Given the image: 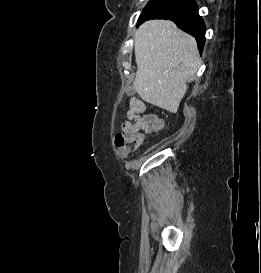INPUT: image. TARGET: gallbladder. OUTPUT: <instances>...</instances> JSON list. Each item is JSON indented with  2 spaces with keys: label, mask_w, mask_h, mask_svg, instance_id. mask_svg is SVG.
Returning <instances> with one entry per match:
<instances>
[{
  "label": "gallbladder",
  "mask_w": 261,
  "mask_h": 273,
  "mask_svg": "<svg viewBox=\"0 0 261 273\" xmlns=\"http://www.w3.org/2000/svg\"><path fill=\"white\" fill-rule=\"evenodd\" d=\"M127 94L129 96H132L135 94V89H134V86L130 87L128 90H127Z\"/></svg>",
  "instance_id": "gallbladder-1"
}]
</instances>
